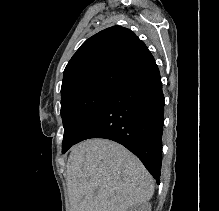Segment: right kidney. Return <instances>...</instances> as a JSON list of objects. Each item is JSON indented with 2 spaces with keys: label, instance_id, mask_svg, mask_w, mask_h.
<instances>
[{
  "label": "right kidney",
  "instance_id": "right-kidney-1",
  "mask_svg": "<svg viewBox=\"0 0 219 211\" xmlns=\"http://www.w3.org/2000/svg\"><path fill=\"white\" fill-rule=\"evenodd\" d=\"M151 207L150 201H144V203H135L130 211H151Z\"/></svg>",
  "mask_w": 219,
  "mask_h": 211
}]
</instances>
